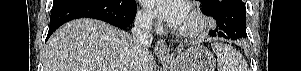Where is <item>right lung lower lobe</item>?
Segmentation results:
<instances>
[{
	"instance_id": "1",
	"label": "right lung lower lobe",
	"mask_w": 301,
	"mask_h": 71,
	"mask_svg": "<svg viewBox=\"0 0 301 71\" xmlns=\"http://www.w3.org/2000/svg\"><path fill=\"white\" fill-rule=\"evenodd\" d=\"M135 16V0H54L46 40L59 26L73 19L94 18L125 29Z\"/></svg>"
}]
</instances>
